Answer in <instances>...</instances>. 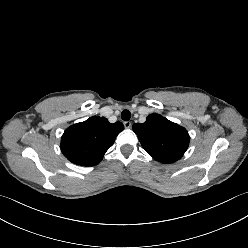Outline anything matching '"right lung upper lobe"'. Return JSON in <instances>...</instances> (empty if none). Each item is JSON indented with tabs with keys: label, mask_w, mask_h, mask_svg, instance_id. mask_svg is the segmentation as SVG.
I'll use <instances>...</instances> for the list:
<instances>
[{
	"label": "right lung upper lobe",
	"mask_w": 248,
	"mask_h": 248,
	"mask_svg": "<svg viewBox=\"0 0 248 248\" xmlns=\"http://www.w3.org/2000/svg\"><path fill=\"white\" fill-rule=\"evenodd\" d=\"M123 129L120 122L111 124L104 117H90L65 130L61 138V151L74 164L96 165Z\"/></svg>",
	"instance_id": "1"
}]
</instances>
